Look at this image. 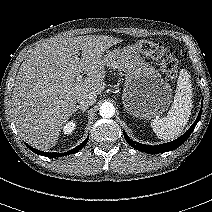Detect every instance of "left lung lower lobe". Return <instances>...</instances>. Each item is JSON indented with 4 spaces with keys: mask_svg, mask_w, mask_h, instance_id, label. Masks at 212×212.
Wrapping results in <instances>:
<instances>
[{
    "mask_svg": "<svg viewBox=\"0 0 212 212\" xmlns=\"http://www.w3.org/2000/svg\"><path fill=\"white\" fill-rule=\"evenodd\" d=\"M201 111H202V109L200 110L198 117L195 120L194 124L188 129V131H186L185 134H183L181 137L177 138L176 140H174L172 142H168V143H164V144H160V145H156V146H151V145H145V144H141V143L133 141L132 139H130L128 137V135L125 133V131H123V134H124L126 141L129 143V145H131L133 148H135L141 152H145V153H149V154H157V153H164V152L172 151V150L178 148L180 145H182L189 138L190 134L193 132L196 124L198 123V121L201 117Z\"/></svg>",
    "mask_w": 212,
    "mask_h": 212,
    "instance_id": "obj_1",
    "label": "left lung lower lobe"
}]
</instances>
